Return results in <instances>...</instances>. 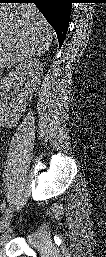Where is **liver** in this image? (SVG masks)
Listing matches in <instances>:
<instances>
[{
  "label": "liver",
  "mask_w": 106,
  "mask_h": 257,
  "mask_svg": "<svg viewBox=\"0 0 106 257\" xmlns=\"http://www.w3.org/2000/svg\"><path fill=\"white\" fill-rule=\"evenodd\" d=\"M52 42V29L34 4L0 6V68L41 56Z\"/></svg>",
  "instance_id": "obj_1"
}]
</instances>
